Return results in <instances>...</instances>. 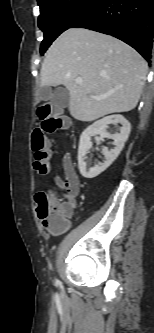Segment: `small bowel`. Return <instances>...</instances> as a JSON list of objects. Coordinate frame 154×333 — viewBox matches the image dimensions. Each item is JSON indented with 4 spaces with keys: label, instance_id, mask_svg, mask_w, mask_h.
<instances>
[{
    "label": "small bowel",
    "instance_id": "small-bowel-1",
    "mask_svg": "<svg viewBox=\"0 0 154 333\" xmlns=\"http://www.w3.org/2000/svg\"><path fill=\"white\" fill-rule=\"evenodd\" d=\"M62 168L64 172V178L56 175L55 182L61 189L65 190L66 192V200L63 202V205L67 211V214L70 215L75 207V197L79 192V177L75 170L72 157L69 153H66L62 158ZM67 228L68 225L66 229Z\"/></svg>",
    "mask_w": 154,
    "mask_h": 333
}]
</instances>
